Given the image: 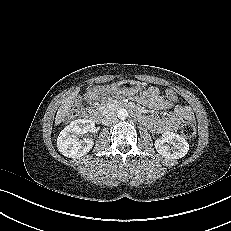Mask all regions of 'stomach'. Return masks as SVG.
<instances>
[{
    "label": "stomach",
    "instance_id": "1",
    "mask_svg": "<svg viewBox=\"0 0 231 231\" xmlns=\"http://www.w3.org/2000/svg\"><path fill=\"white\" fill-rule=\"evenodd\" d=\"M115 90L120 94L134 95L142 90V86L135 80H122L115 85Z\"/></svg>",
    "mask_w": 231,
    "mask_h": 231
}]
</instances>
